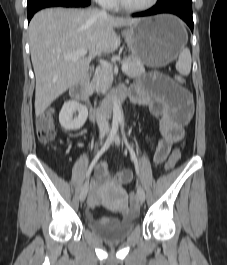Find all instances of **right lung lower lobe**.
I'll use <instances>...</instances> for the list:
<instances>
[{
  "instance_id": "right-lung-lower-lobe-1",
  "label": "right lung lower lobe",
  "mask_w": 227,
  "mask_h": 265,
  "mask_svg": "<svg viewBox=\"0 0 227 265\" xmlns=\"http://www.w3.org/2000/svg\"><path fill=\"white\" fill-rule=\"evenodd\" d=\"M90 4V0H38L27 5L28 22L37 11L47 7H85Z\"/></svg>"
}]
</instances>
